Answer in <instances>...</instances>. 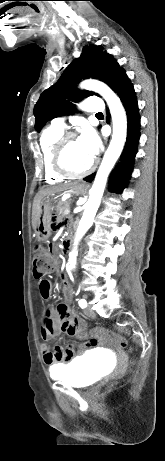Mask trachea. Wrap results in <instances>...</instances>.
Returning <instances> with one entry per match:
<instances>
[{
	"instance_id": "1",
	"label": "trachea",
	"mask_w": 165,
	"mask_h": 461,
	"mask_svg": "<svg viewBox=\"0 0 165 461\" xmlns=\"http://www.w3.org/2000/svg\"><path fill=\"white\" fill-rule=\"evenodd\" d=\"M103 114L102 113H97L96 116H102Z\"/></svg>"
}]
</instances>
